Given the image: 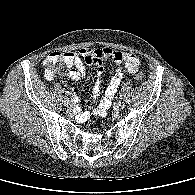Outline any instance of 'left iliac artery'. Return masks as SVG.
I'll list each match as a JSON object with an SVG mask.
<instances>
[{
	"label": "left iliac artery",
	"mask_w": 195,
	"mask_h": 195,
	"mask_svg": "<svg viewBox=\"0 0 195 195\" xmlns=\"http://www.w3.org/2000/svg\"><path fill=\"white\" fill-rule=\"evenodd\" d=\"M120 99H123V96L122 95H120Z\"/></svg>",
	"instance_id": "1"
}]
</instances>
